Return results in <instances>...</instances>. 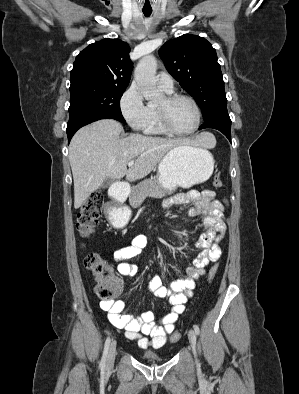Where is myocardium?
<instances>
[{
	"mask_svg": "<svg viewBox=\"0 0 299 394\" xmlns=\"http://www.w3.org/2000/svg\"><path fill=\"white\" fill-rule=\"evenodd\" d=\"M180 99H184V100L189 101L193 105V107L196 111V123L192 129L187 130V131L176 130L171 125L170 120H169V116H168V107L171 104H173L175 101L180 100ZM163 102H164L163 106H156V110H157L159 123L166 133H169L172 135L183 136V135H190V134L194 133L195 131H197V129L199 128V126L201 124L202 114H201V109L194 98H192L191 96L186 95V94L172 93V94H167L166 96H164Z\"/></svg>",
	"mask_w": 299,
	"mask_h": 394,
	"instance_id": "f54148a6",
	"label": "myocardium"
}]
</instances>
